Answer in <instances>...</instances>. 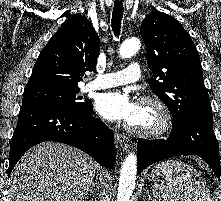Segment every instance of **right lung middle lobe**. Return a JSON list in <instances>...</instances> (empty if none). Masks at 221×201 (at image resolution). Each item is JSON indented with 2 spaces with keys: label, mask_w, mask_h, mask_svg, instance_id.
Wrapping results in <instances>:
<instances>
[{
  "label": "right lung middle lobe",
  "mask_w": 221,
  "mask_h": 201,
  "mask_svg": "<svg viewBox=\"0 0 221 201\" xmlns=\"http://www.w3.org/2000/svg\"><path fill=\"white\" fill-rule=\"evenodd\" d=\"M79 88L66 89L57 87H31L24 89L22 104L29 102H41L55 106H61L73 110H87L92 102L89 99L82 100L76 97Z\"/></svg>",
  "instance_id": "right-lung-middle-lobe-1"
}]
</instances>
